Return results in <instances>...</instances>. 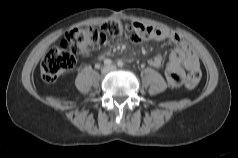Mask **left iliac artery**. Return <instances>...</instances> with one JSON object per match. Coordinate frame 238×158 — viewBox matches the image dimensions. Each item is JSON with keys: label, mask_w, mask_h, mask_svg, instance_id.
Returning <instances> with one entry per match:
<instances>
[{"label": "left iliac artery", "mask_w": 238, "mask_h": 158, "mask_svg": "<svg viewBox=\"0 0 238 158\" xmlns=\"http://www.w3.org/2000/svg\"><path fill=\"white\" fill-rule=\"evenodd\" d=\"M117 65H118L119 67H123L124 63H123V61L119 60V61L117 62Z\"/></svg>", "instance_id": "1"}]
</instances>
